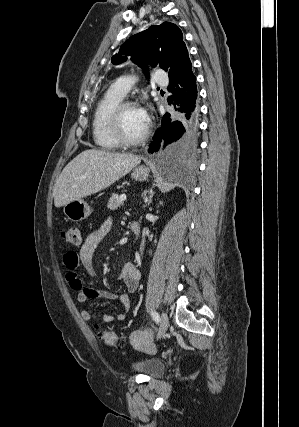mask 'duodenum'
<instances>
[{
    "mask_svg": "<svg viewBox=\"0 0 299 427\" xmlns=\"http://www.w3.org/2000/svg\"><path fill=\"white\" fill-rule=\"evenodd\" d=\"M129 227L131 229V231L133 232V234L135 235L136 238L139 237L140 234V224L137 221H130L129 222Z\"/></svg>",
    "mask_w": 299,
    "mask_h": 427,
    "instance_id": "410a0bca",
    "label": "duodenum"
}]
</instances>
